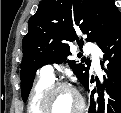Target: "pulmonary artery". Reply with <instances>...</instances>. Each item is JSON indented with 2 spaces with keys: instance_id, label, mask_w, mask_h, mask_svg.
Instances as JSON below:
<instances>
[{
  "instance_id": "1",
  "label": "pulmonary artery",
  "mask_w": 121,
  "mask_h": 113,
  "mask_svg": "<svg viewBox=\"0 0 121 113\" xmlns=\"http://www.w3.org/2000/svg\"><path fill=\"white\" fill-rule=\"evenodd\" d=\"M87 51L89 53H92L93 55V66H94L95 71L100 72L101 67L99 63V55H100L99 48L96 45L90 43L87 46ZM40 73L41 75L49 77V78H53L54 76V70L51 65H44L43 67H41Z\"/></svg>"
}]
</instances>
